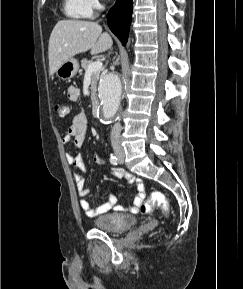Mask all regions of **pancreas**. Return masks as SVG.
<instances>
[{
  "label": "pancreas",
  "instance_id": "1",
  "mask_svg": "<svg viewBox=\"0 0 243 289\" xmlns=\"http://www.w3.org/2000/svg\"><path fill=\"white\" fill-rule=\"evenodd\" d=\"M92 63L91 60L88 59H82L81 60V67L84 69V71H87L88 66ZM101 70L95 71L91 74V99L94 100L96 98V90H97V82L100 77Z\"/></svg>",
  "mask_w": 243,
  "mask_h": 289
}]
</instances>
